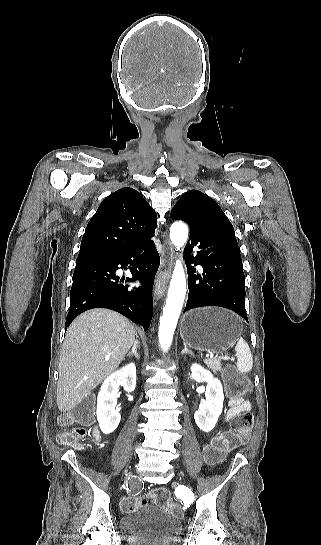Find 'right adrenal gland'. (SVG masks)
Returning <instances> with one entry per match:
<instances>
[{
  "mask_svg": "<svg viewBox=\"0 0 321 545\" xmlns=\"http://www.w3.org/2000/svg\"><path fill=\"white\" fill-rule=\"evenodd\" d=\"M141 343L140 341H138V339H135L134 343H133V347H132V351L131 353H128L127 357H136V359H140L139 355H138V347H140Z\"/></svg>",
  "mask_w": 321,
  "mask_h": 545,
  "instance_id": "obj_1",
  "label": "right adrenal gland"
}]
</instances>
